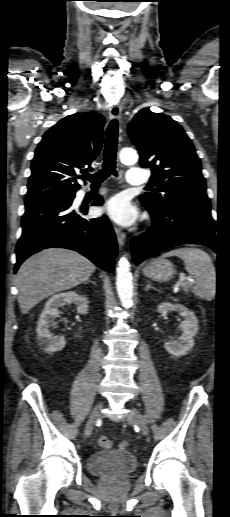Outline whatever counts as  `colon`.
Segmentation results:
<instances>
[{"label": "colon", "mask_w": 230, "mask_h": 517, "mask_svg": "<svg viewBox=\"0 0 230 517\" xmlns=\"http://www.w3.org/2000/svg\"><path fill=\"white\" fill-rule=\"evenodd\" d=\"M99 444L103 448H110L112 446V442L105 436H101L99 438ZM129 447V443L127 441H121L119 443L120 450H126Z\"/></svg>", "instance_id": "obj_1"}]
</instances>
